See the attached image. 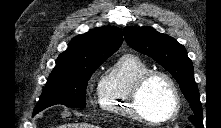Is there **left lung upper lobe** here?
I'll list each match as a JSON object with an SVG mask.
<instances>
[{"label":"left lung upper lobe","instance_id":"1","mask_svg":"<svg viewBox=\"0 0 221 128\" xmlns=\"http://www.w3.org/2000/svg\"><path fill=\"white\" fill-rule=\"evenodd\" d=\"M124 36L130 47L153 58L171 73L193 110L188 119L196 127H203L200 95L194 80L193 65L185 47L152 27H125Z\"/></svg>","mask_w":221,"mask_h":128}]
</instances>
